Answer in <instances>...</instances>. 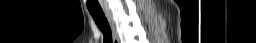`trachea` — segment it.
Returning a JSON list of instances; mask_svg holds the SVG:
<instances>
[{
	"instance_id": "1",
	"label": "trachea",
	"mask_w": 256,
	"mask_h": 43,
	"mask_svg": "<svg viewBox=\"0 0 256 43\" xmlns=\"http://www.w3.org/2000/svg\"><path fill=\"white\" fill-rule=\"evenodd\" d=\"M88 10H89V13L91 14V16L93 17L97 27L103 33L104 43H112L111 28L109 26V23L103 13V11L102 10H91V9H88Z\"/></svg>"
}]
</instances>
